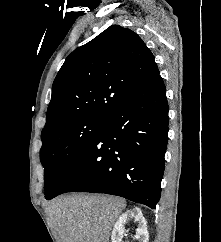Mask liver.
Wrapping results in <instances>:
<instances>
[{"label":"liver","mask_w":221,"mask_h":242,"mask_svg":"<svg viewBox=\"0 0 221 242\" xmlns=\"http://www.w3.org/2000/svg\"><path fill=\"white\" fill-rule=\"evenodd\" d=\"M125 207L119 197L77 194L54 199L48 214L57 242H108Z\"/></svg>","instance_id":"liver-1"}]
</instances>
